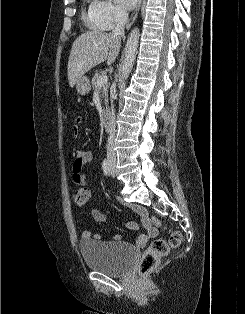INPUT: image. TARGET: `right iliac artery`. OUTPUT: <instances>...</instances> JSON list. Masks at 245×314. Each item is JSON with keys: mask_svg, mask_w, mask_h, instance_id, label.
Instances as JSON below:
<instances>
[{"mask_svg": "<svg viewBox=\"0 0 245 314\" xmlns=\"http://www.w3.org/2000/svg\"><path fill=\"white\" fill-rule=\"evenodd\" d=\"M103 172L106 176L110 174L109 162L105 159L102 164Z\"/></svg>", "mask_w": 245, "mask_h": 314, "instance_id": "right-iliac-artery-1", "label": "right iliac artery"}]
</instances>
